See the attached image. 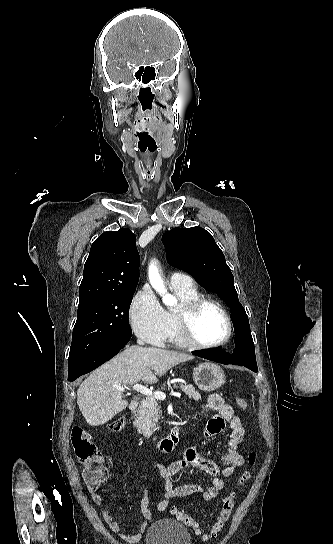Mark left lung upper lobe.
<instances>
[{
  "instance_id": "left-lung-upper-lobe-1",
  "label": "left lung upper lobe",
  "mask_w": 333,
  "mask_h": 544,
  "mask_svg": "<svg viewBox=\"0 0 333 544\" xmlns=\"http://www.w3.org/2000/svg\"><path fill=\"white\" fill-rule=\"evenodd\" d=\"M162 242L171 266L188 271L202 287L218 293L231 308L233 322L242 320L249 323L238 300L233 274L208 231L200 227L174 228L163 234ZM250 353L255 357L253 348Z\"/></svg>"
}]
</instances>
